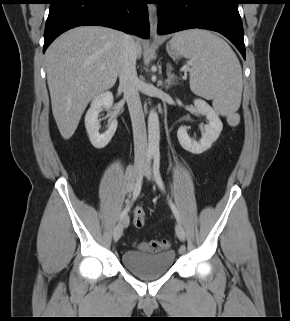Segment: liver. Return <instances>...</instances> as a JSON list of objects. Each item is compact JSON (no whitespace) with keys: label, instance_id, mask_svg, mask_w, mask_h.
Instances as JSON below:
<instances>
[{"label":"liver","instance_id":"obj_1","mask_svg":"<svg viewBox=\"0 0 290 321\" xmlns=\"http://www.w3.org/2000/svg\"><path fill=\"white\" fill-rule=\"evenodd\" d=\"M125 34L102 26H81L60 35L46 51L52 113L61 136L75 133L88 103L116 83ZM137 57L142 48L136 41Z\"/></svg>","mask_w":290,"mask_h":321}]
</instances>
